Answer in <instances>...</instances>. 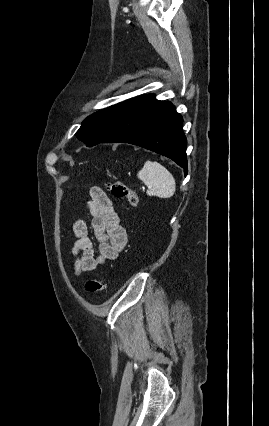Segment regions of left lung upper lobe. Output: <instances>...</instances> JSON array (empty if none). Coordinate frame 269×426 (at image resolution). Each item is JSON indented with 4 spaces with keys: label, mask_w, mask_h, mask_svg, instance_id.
I'll list each match as a JSON object with an SVG mask.
<instances>
[{
    "label": "left lung upper lobe",
    "mask_w": 269,
    "mask_h": 426,
    "mask_svg": "<svg viewBox=\"0 0 269 426\" xmlns=\"http://www.w3.org/2000/svg\"><path fill=\"white\" fill-rule=\"evenodd\" d=\"M131 99L110 106L88 116L82 123L76 136L88 147L95 146L110 133Z\"/></svg>",
    "instance_id": "obj_1"
}]
</instances>
